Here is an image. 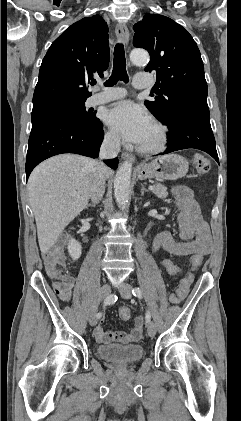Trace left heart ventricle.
I'll return each mask as SVG.
<instances>
[{
  "instance_id": "b2bd125f",
  "label": "left heart ventricle",
  "mask_w": 241,
  "mask_h": 421,
  "mask_svg": "<svg viewBox=\"0 0 241 421\" xmlns=\"http://www.w3.org/2000/svg\"><path fill=\"white\" fill-rule=\"evenodd\" d=\"M156 140H157V132H156V129L154 128V126L152 125L151 128L149 129L146 137L140 143V145L149 146V145L154 144L156 142Z\"/></svg>"
}]
</instances>
